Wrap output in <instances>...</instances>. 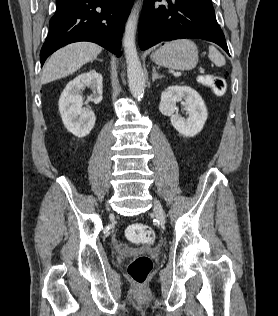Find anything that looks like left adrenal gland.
<instances>
[{
  "mask_svg": "<svg viewBox=\"0 0 278 316\" xmlns=\"http://www.w3.org/2000/svg\"><path fill=\"white\" fill-rule=\"evenodd\" d=\"M153 73H152V81L154 82L157 79H162L164 76L163 75H159L155 69V67L153 66L152 69Z\"/></svg>",
  "mask_w": 278,
  "mask_h": 316,
  "instance_id": "left-adrenal-gland-1",
  "label": "left adrenal gland"
}]
</instances>
